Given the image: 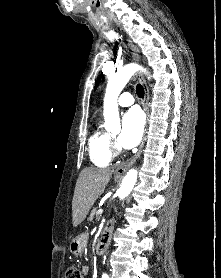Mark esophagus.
<instances>
[{"label":"esophagus","mask_w":221,"mask_h":278,"mask_svg":"<svg viewBox=\"0 0 221 278\" xmlns=\"http://www.w3.org/2000/svg\"><path fill=\"white\" fill-rule=\"evenodd\" d=\"M128 45L130 46L131 50H132V57L135 61H140V56L138 54V49L136 48V46L134 44H132L130 41L128 43ZM138 78L141 81L143 87H144V91H145V96H144V101H143V108L144 111L147 115V117L149 116V109H148V100H149V91H148V86L146 83V80L143 76V74L141 72L138 73ZM146 133H147V124L145 127V132L141 141V144L139 146V150L138 152L131 158V160H129L128 162L122 164L121 166H119L116 170H115V175L116 176H123L126 174V172L130 169V167L135 163V161L138 159V157L140 156L142 149L144 147L145 141H146Z\"/></svg>","instance_id":"34e87169"}]
</instances>
